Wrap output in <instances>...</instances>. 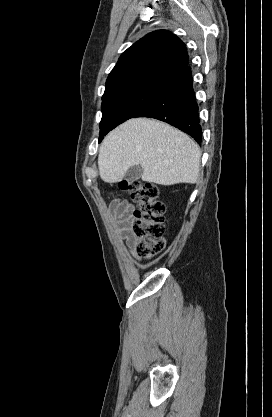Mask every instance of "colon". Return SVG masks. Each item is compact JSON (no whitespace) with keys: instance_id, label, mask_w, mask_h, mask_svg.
Listing matches in <instances>:
<instances>
[{"instance_id":"5ec220e1","label":"colon","mask_w":272,"mask_h":417,"mask_svg":"<svg viewBox=\"0 0 272 417\" xmlns=\"http://www.w3.org/2000/svg\"><path fill=\"white\" fill-rule=\"evenodd\" d=\"M120 188L128 190L136 204L132 215L131 232L136 240L137 252L150 258L158 254L165 244V204L159 199V188L145 181H123Z\"/></svg>"}]
</instances>
